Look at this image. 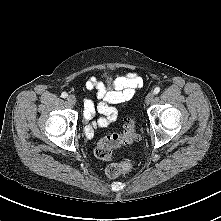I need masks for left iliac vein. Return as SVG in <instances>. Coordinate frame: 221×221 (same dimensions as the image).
Here are the masks:
<instances>
[{
    "label": "left iliac vein",
    "instance_id": "obj_1",
    "mask_svg": "<svg viewBox=\"0 0 221 221\" xmlns=\"http://www.w3.org/2000/svg\"><path fill=\"white\" fill-rule=\"evenodd\" d=\"M153 98H154V93L153 92L148 93L145 98V103L150 104L152 102Z\"/></svg>",
    "mask_w": 221,
    "mask_h": 221
}]
</instances>
